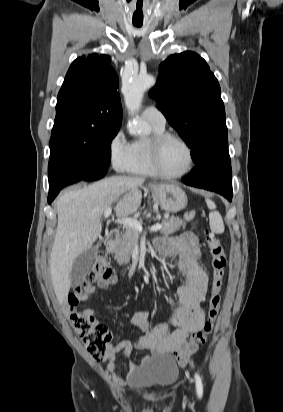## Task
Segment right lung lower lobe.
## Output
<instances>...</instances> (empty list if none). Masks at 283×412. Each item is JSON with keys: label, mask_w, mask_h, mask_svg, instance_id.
I'll use <instances>...</instances> for the list:
<instances>
[{"label": "right lung lower lobe", "mask_w": 283, "mask_h": 412, "mask_svg": "<svg viewBox=\"0 0 283 412\" xmlns=\"http://www.w3.org/2000/svg\"><path fill=\"white\" fill-rule=\"evenodd\" d=\"M108 169V165H90L76 170L58 171L49 176L48 203H51L59 191L70 184L80 180H97L102 178Z\"/></svg>", "instance_id": "right-lung-lower-lobe-1"}]
</instances>
